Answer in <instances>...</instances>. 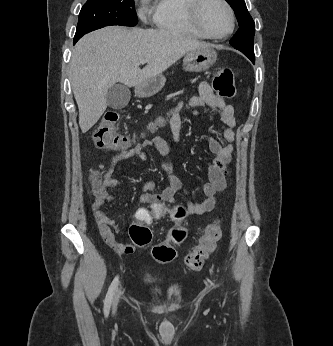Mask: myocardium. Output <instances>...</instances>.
Here are the masks:
<instances>
[{
	"instance_id": "obj_1",
	"label": "myocardium",
	"mask_w": 333,
	"mask_h": 346,
	"mask_svg": "<svg viewBox=\"0 0 333 346\" xmlns=\"http://www.w3.org/2000/svg\"><path fill=\"white\" fill-rule=\"evenodd\" d=\"M208 1L209 0H189V13L194 26L202 35L212 39H225L229 37L234 32L236 26L235 14L232 7L227 2V0H217L225 7L228 12L230 18V28L224 34L216 35L209 32L202 21V10Z\"/></svg>"
}]
</instances>
